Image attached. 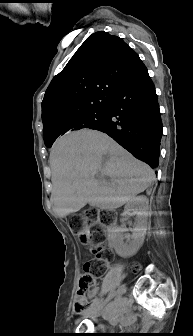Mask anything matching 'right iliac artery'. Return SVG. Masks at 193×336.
Segmentation results:
<instances>
[{
  "label": "right iliac artery",
  "mask_w": 193,
  "mask_h": 336,
  "mask_svg": "<svg viewBox=\"0 0 193 336\" xmlns=\"http://www.w3.org/2000/svg\"><path fill=\"white\" fill-rule=\"evenodd\" d=\"M117 301H118V299H117ZM117 301L111 302L108 306L109 307H113L117 303ZM94 306L100 307L99 302H96L91 308H89V310L92 309V308H94Z\"/></svg>",
  "instance_id": "obj_1"
}]
</instances>
